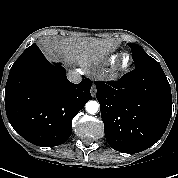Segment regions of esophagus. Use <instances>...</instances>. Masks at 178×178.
Instances as JSON below:
<instances>
[{
  "instance_id": "1",
  "label": "esophagus",
  "mask_w": 178,
  "mask_h": 178,
  "mask_svg": "<svg viewBox=\"0 0 178 178\" xmlns=\"http://www.w3.org/2000/svg\"><path fill=\"white\" fill-rule=\"evenodd\" d=\"M90 92H91L92 97L96 96L97 90H96V86L95 85H92Z\"/></svg>"
}]
</instances>
